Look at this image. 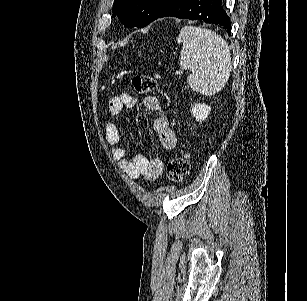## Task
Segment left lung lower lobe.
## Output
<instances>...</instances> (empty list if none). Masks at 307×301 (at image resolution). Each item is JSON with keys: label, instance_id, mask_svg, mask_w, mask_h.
I'll list each match as a JSON object with an SVG mask.
<instances>
[{"label": "left lung lower lobe", "instance_id": "0a47b994", "mask_svg": "<svg viewBox=\"0 0 307 301\" xmlns=\"http://www.w3.org/2000/svg\"><path fill=\"white\" fill-rule=\"evenodd\" d=\"M222 0H176L158 18L173 16L190 20H204L223 27L231 34L230 18L221 6Z\"/></svg>", "mask_w": 307, "mask_h": 301}]
</instances>
